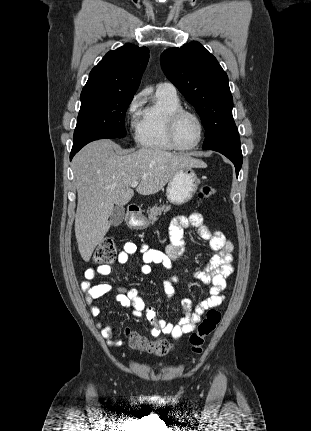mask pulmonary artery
Returning <instances> with one entry per match:
<instances>
[{
    "label": "pulmonary artery",
    "instance_id": "pulmonary-artery-1",
    "mask_svg": "<svg viewBox=\"0 0 311 431\" xmlns=\"http://www.w3.org/2000/svg\"><path fill=\"white\" fill-rule=\"evenodd\" d=\"M157 90L167 93H176V88L174 87V85L168 82L159 83L157 85Z\"/></svg>",
    "mask_w": 311,
    "mask_h": 431
}]
</instances>
